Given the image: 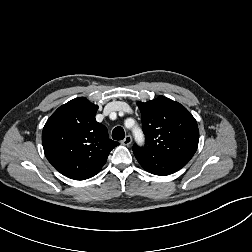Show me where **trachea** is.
Wrapping results in <instances>:
<instances>
[{
  "label": "trachea",
  "instance_id": "obj_1",
  "mask_svg": "<svg viewBox=\"0 0 252 252\" xmlns=\"http://www.w3.org/2000/svg\"><path fill=\"white\" fill-rule=\"evenodd\" d=\"M125 137V132L122 127H116L112 131V138L114 140H123Z\"/></svg>",
  "mask_w": 252,
  "mask_h": 252
}]
</instances>
